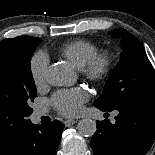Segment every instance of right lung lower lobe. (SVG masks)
Masks as SVG:
<instances>
[{"label": "right lung lower lobe", "mask_w": 155, "mask_h": 155, "mask_svg": "<svg viewBox=\"0 0 155 155\" xmlns=\"http://www.w3.org/2000/svg\"><path fill=\"white\" fill-rule=\"evenodd\" d=\"M63 129L57 120L41 127L31 122L15 138L0 145V155H55Z\"/></svg>", "instance_id": "obj_1"}]
</instances>
